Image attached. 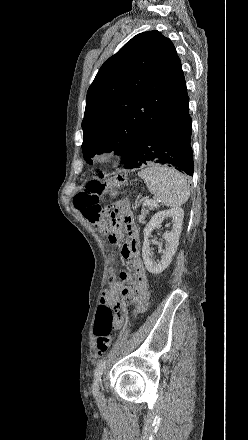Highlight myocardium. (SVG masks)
I'll return each mask as SVG.
<instances>
[{
  "label": "myocardium",
  "instance_id": "1",
  "mask_svg": "<svg viewBox=\"0 0 248 440\" xmlns=\"http://www.w3.org/2000/svg\"><path fill=\"white\" fill-rule=\"evenodd\" d=\"M119 154L115 148L102 147L97 149L91 155V164L95 167H104L114 162L118 158Z\"/></svg>",
  "mask_w": 248,
  "mask_h": 440
}]
</instances>
